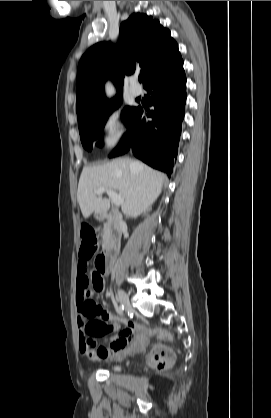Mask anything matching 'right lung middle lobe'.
Returning a JSON list of instances; mask_svg holds the SVG:
<instances>
[{"label":"right lung middle lobe","mask_w":271,"mask_h":418,"mask_svg":"<svg viewBox=\"0 0 271 418\" xmlns=\"http://www.w3.org/2000/svg\"><path fill=\"white\" fill-rule=\"evenodd\" d=\"M122 103L121 95L112 101H108L90 110L89 112L78 116V125L82 145L88 151L92 150L93 142L98 140L97 146L103 145L101 132L111 111ZM138 107L127 106L123 110V120L127 124Z\"/></svg>","instance_id":"right-lung-middle-lobe-1"}]
</instances>
